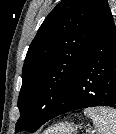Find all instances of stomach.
Segmentation results:
<instances>
[{"instance_id":"obj_1","label":"stomach","mask_w":116,"mask_h":134,"mask_svg":"<svg viewBox=\"0 0 116 134\" xmlns=\"http://www.w3.org/2000/svg\"><path fill=\"white\" fill-rule=\"evenodd\" d=\"M76 131V125L68 122H62L50 127L43 134H76Z\"/></svg>"}]
</instances>
